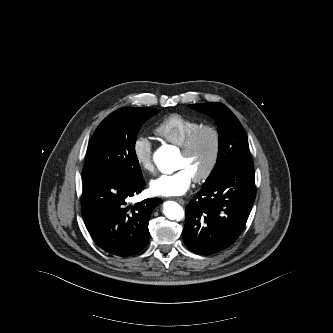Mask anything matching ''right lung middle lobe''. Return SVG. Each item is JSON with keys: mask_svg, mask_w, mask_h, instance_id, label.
<instances>
[{"mask_svg": "<svg viewBox=\"0 0 333 333\" xmlns=\"http://www.w3.org/2000/svg\"><path fill=\"white\" fill-rule=\"evenodd\" d=\"M158 109L123 107L105 118L89 143L83 175H119L141 180L143 175L135 153L141 125Z\"/></svg>", "mask_w": 333, "mask_h": 333, "instance_id": "obj_1", "label": "right lung middle lobe"}]
</instances>
